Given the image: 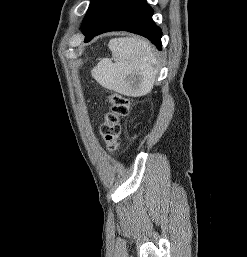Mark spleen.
<instances>
[{
    "mask_svg": "<svg viewBox=\"0 0 247 257\" xmlns=\"http://www.w3.org/2000/svg\"><path fill=\"white\" fill-rule=\"evenodd\" d=\"M111 59L103 58L92 70L104 88L127 96H142L154 85L157 59L151 44L138 37L115 38L109 42ZM133 77L137 80L132 81Z\"/></svg>",
    "mask_w": 247,
    "mask_h": 257,
    "instance_id": "spleen-1",
    "label": "spleen"
}]
</instances>
